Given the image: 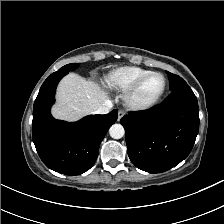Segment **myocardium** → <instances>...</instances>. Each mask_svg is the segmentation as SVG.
Masks as SVG:
<instances>
[{
	"label": "myocardium",
	"mask_w": 224,
	"mask_h": 224,
	"mask_svg": "<svg viewBox=\"0 0 224 224\" xmlns=\"http://www.w3.org/2000/svg\"><path fill=\"white\" fill-rule=\"evenodd\" d=\"M153 75H161L163 77V79H164V87H163V89L152 100L145 101V102L138 101L136 96H137V93H138L139 89L141 88L143 83L149 77H151ZM167 86H168V79L162 72L151 71V72L143 75L142 77H140L137 81H135L131 85V87L129 89L126 90V92L124 94L125 105L129 109L136 110V111H141V110H146V109L152 108L161 100V98L163 97V95L165 94V92L167 90Z\"/></svg>",
	"instance_id": "myocardium-1"
}]
</instances>
